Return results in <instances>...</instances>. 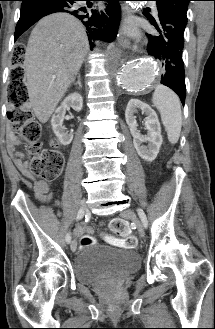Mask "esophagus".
I'll use <instances>...</instances> for the list:
<instances>
[{
  "label": "esophagus",
  "mask_w": 215,
  "mask_h": 329,
  "mask_svg": "<svg viewBox=\"0 0 215 329\" xmlns=\"http://www.w3.org/2000/svg\"><path fill=\"white\" fill-rule=\"evenodd\" d=\"M122 15L123 19H127L128 17L132 16V10L127 5H123L122 7ZM118 43L123 48H131V42L128 38H126L122 33L118 34Z\"/></svg>",
  "instance_id": "1"
}]
</instances>
